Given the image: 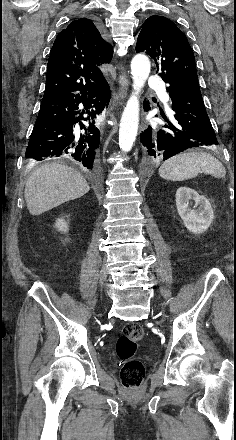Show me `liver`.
Masks as SVG:
<instances>
[{
	"instance_id": "1",
	"label": "liver",
	"mask_w": 236,
	"mask_h": 440,
	"mask_svg": "<svg viewBox=\"0 0 236 440\" xmlns=\"http://www.w3.org/2000/svg\"><path fill=\"white\" fill-rule=\"evenodd\" d=\"M89 190L80 173L68 166L51 163L33 171L26 182L24 196L29 213L37 216Z\"/></svg>"
}]
</instances>
